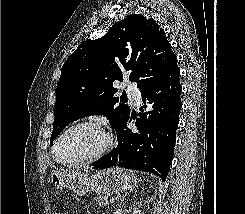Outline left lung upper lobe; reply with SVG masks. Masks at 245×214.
Segmentation results:
<instances>
[{
    "instance_id": "5c2ea615",
    "label": "left lung upper lobe",
    "mask_w": 245,
    "mask_h": 214,
    "mask_svg": "<svg viewBox=\"0 0 245 214\" xmlns=\"http://www.w3.org/2000/svg\"><path fill=\"white\" fill-rule=\"evenodd\" d=\"M176 63L164 30L140 14L115 23L99 39L82 42L62 66L50 145L69 123L94 114L106 116L118 135L130 108L118 104L113 81L129 75L143 92Z\"/></svg>"
}]
</instances>
